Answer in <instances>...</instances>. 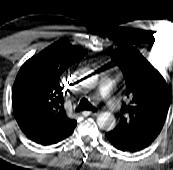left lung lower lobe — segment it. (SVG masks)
<instances>
[{"mask_svg":"<svg viewBox=\"0 0 173 170\" xmlns=\"http://www.w3.org/2000/svg\"><path fill=\"white\" fill-rule=\"evenodd\" d=\"M106 137L109 140V142L117 149L125 152H137L140 151L139 149L131 148L127 146L125 143H123L120 139L113 137L106 133Z\"/></svg>","mask_w":173,"mask_h":170,"instance_id":"1","label":"left lung lower lobe"}]
</instances>
